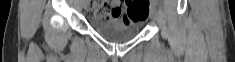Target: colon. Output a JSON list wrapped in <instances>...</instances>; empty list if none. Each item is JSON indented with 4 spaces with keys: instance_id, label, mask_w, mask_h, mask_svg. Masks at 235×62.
<instances>
[{
    "instance_id": "obj_1",
    "label": "colon",
    "mask_w": 235,
    "mask_h": 62,
    "mask_svg": "<svg viewBox=\"0 0 235 62\" xmlns=\"http://www.w3.org/2000/svg\"><path fill=\"white\" fill-rule=\"evenodd\" d=\"M101 7H103L101 5ZM128 21L135 23L139 20H143L146 17V8L141 1H132L128 6L125 14Z\"/></svg>"
}]
</instances>
